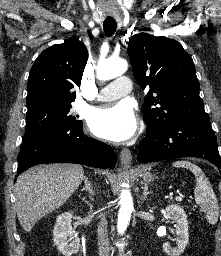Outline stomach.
Returning <instances> with one entry per match:
<instances>
[{"instance_id":"stomach-1","label":"stomach","mask_w":221,"mask_h":256,"mask_svg":"<svg viewBox=\"0 0 221 256\" xmlns=\"http://www.w3.org/2000/svg\"><path fill=\"white\" fill-rule=\"evenodd\" d=\"M137 172L143 177L145 182H151L155 179V176L152 175L146 167L137 169Z\"/></svg>"}]
</instances>
